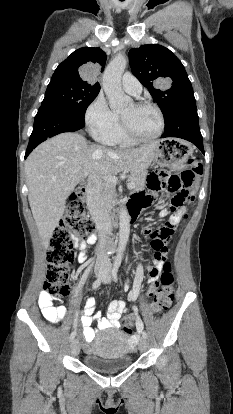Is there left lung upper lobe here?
Masks as SVG:
<instances>
[{"mask_svg":"<svg viewBox=\"0 0 233 414\" xmlns=\"http://www.w3.org/2000/svg\"><path fill=\"white\" fill-rule=\"evenodd\" d=\"M134 76L148 88L159 105L164 120L183 102L195 100L192 85L180 60L167 48L158 44L143 45L129 51ZM168 82L167 89H159L158 82Z\"/></svg>","mask_w":233,"mask_h":414,"instance_id":"1","label":"left lung upper lobe"}]
</instances>
